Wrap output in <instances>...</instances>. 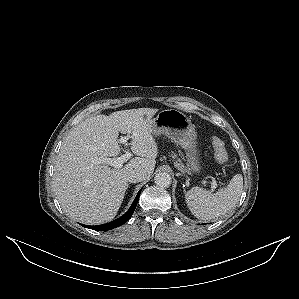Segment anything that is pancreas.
I'll return each instance as SVG.
<instances>
[{
    "label": "pancreas",
    "mask_w": 299,
    "mask_h": 299,
    "mask_svg": "<svg viewBox=\"0 0 299 299\" xmlns=\"http://www.w3.org/2000/svg\"><path fill=\"white\" fill-rule=\"evenodd\" d=\"M173 158H176L175 154H173ZM175 167L183 173L186 171L185 166L183 165V163L180 160H178V162L177 161L175 162Z\"/></svg>",
    "instance_id": "1"
}]
</instances>
